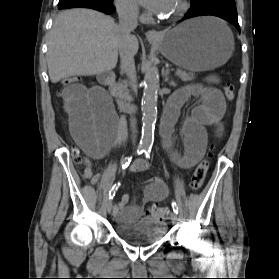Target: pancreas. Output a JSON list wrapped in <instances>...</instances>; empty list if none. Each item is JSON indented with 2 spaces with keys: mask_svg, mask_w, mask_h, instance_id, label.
Listing matches in <instances>:
<instances>
[{
  "mask_svg": "<svg viewBox=\"0 0 279 279\" xmlns=\"http://www.w3.org/2000/svg\"><path fill=\"white\" fill-rule=\"evenodd\" d=\"M176 75L179 77V79H181L182 81L186 82V81H191L192 79H194V76L192 73H187L185 71L182 70H177L176 71ZM127 82L126 81H120L116 88H117V95L120 98L123 99H128L129 98V91L127 89Z\"/></svg>",
  "mask_w": 279,
  "mask_h": 279,
  "instance_id": "cf45deb5",
  "label": "pancreas"
}]
</instances>
